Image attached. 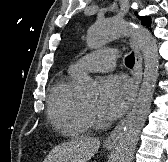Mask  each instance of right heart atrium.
Segmentation results:
<instances>
[{
    "label": "right heart atrium",
    "instance_id": "right-heart-atrium-1",
    "mask_svg": "<svg viewBox=\"0 0 168 162\" xmlns=\"http://www.w3.org/2000/svg\"><path fill=\"white\" fill-rule=\"evenodd\" d=\"M89 119H90V120L92 119V116H91V115H89Z\"/></svg>",
    "mask_w": 168,
    "mask_h": 162
}]
</instances>
